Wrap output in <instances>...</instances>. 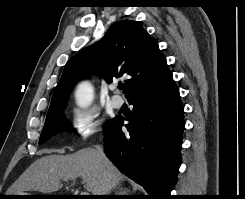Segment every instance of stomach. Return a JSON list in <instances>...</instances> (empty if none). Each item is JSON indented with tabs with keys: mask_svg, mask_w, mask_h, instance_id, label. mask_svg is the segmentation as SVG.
<instances>
[{
	"mask_svg": "<svg viewBox=\"0 0 245 199\" xmlns=\"http://www.w3.org/2000/svg\"><path fill=\"white\" fill-rule=\"evenodd\" d=\"M17 195H32V194L22 193V194H17ZM22 197H23V196H22Z\"/></svg>",
	"mask_w": 245,
	"mask_h": 199,
	"instance_id": "stomach-1",
	"label": "stomach"
}]
</instances>
